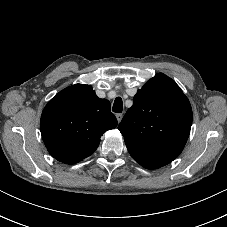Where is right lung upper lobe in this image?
Listing matches in <instances>:
<instances>
[{
	"label": "right lung upper lobe",
	"mask_w": 227,
	"mask_h": 227,
	"mask_svg": "<svg viewBox=\"0 0 227 227\" xmlns=\"http://www.w3.org/2000/svg\"><path fill=\"white\" fill-rule=\"evenodd\" d=\"M111 105L100 99L90 85H72L45 106L40 129L49 153L58 161L75 164L90 156L100 137L117 126Z\"/></svg>",
	"instance_id": "1"
}]
</instances>
